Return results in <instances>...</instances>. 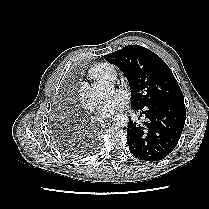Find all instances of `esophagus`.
I'll return each instance as SVG.
<instances>
[{"instance_id": "34e87169", "label": "esophagus", "mask_w": 209, "mask_h": 209, "mask_svg": "<svg viewBox=\"0 0 209 209\" xmlns=\"http://www.w3.org/2000/svg\"><path fill=\"white\" fill-rule=\"evenodd\" d=\"M108 120H105V121H101L100 122V125L102 126V127H104V126H106L107 124H108Z\"/></svg>"}]
</instances>
